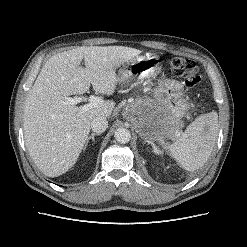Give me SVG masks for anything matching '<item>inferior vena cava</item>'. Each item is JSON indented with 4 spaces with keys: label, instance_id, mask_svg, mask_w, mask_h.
<instances>
[{
    "label": "inferior vena cava",
    "instance_id": "602c4592",
    "mask_svg": "<svg viewBox=\"0 0 247 247\" xmlns=\"http://www.w3.org/2000/svg\"><path fill=\"white\" fill-rule=\"evenodd\" d=\"M107 127H108V121L103 116L95 117L91 121V128L93 132L101 134L107 129Z\"/></svg>",
    "mask_w": 247,
    "mask_h": 247
}]
</instances>
